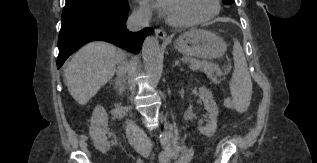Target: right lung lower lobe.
<instances>
[{
  "label": "right lung lower lobe",
  "instance_id": "98d812e1",
  "mask_svg": "<svg viewBox=\"0 0 317 163\" xmlns=\"http://www.w3.org/2000/svg\"><path fill=\"white\" fill-rule=\"evenodd\" d=\"M129 7L113 10H100L84 17L63 22L58 38L59 55L57 68L82 45L96 40L113 43L119 47L138 53L144 38L151 34L152 28H145L138 33L126 28Z\"/></svg>",
  "mask_w": 317,
  "mask_h": 163
}]
</instances>
